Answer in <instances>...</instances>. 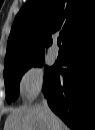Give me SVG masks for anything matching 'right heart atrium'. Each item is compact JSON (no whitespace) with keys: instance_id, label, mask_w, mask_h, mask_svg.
Instances as JSON below:
<instances>
[{"instance_id":"obj_1","label":"right heart atrium","mask_w":95,"mask_h":130,"mask_svg":"<svg viewBox=\"0 0 95 130\" xmlns=\"http://www.w3.org/2000/svg\"><path fill=\"white\" fill-rule=\"evenodd\" d=\"M19 88L23 97L32 100L44 89L43 70L39 65L29 66L21 75Z\"/></svg>"}]
</instances>
